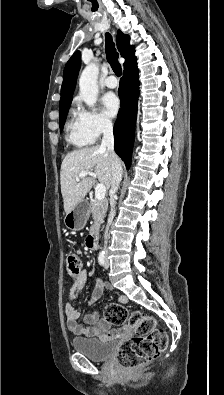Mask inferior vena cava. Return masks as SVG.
<instances>
[{
    "label": "inferior vena cava",
    "instance_id": "1",
    "mask_svg": "<svg viewBox=\"0 0 224 395\" xmlns=\"http://www.w3.org/2000/svg\"><path fill=\"white\" fill-rule=\"evenodd\" d=\"M102 132H103V138H102L101 148H105L110 154V162L112 168V180H111V188L109 193L111 210L109 213L108 223L104 236L105 237L104 250H107L108 229L115 216L116 193L118 191L120 182L122 180L123 170L119 158L114 152L113 125L110 120L105 119L103 121Z\"/></svg>",
    "mask_w": 224,
    "mask_h": 395
}]
</instances>
